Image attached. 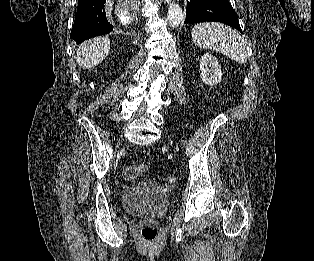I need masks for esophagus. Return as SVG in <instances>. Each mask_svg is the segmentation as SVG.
Returning <instances> with one entry per match:
<instances>
[{"mask_svg":"<svg viewBox=\"0 0 314 261\" xmlns=\"http://www.w3.org/2000/svg\"><path fill=\"white\" fill-rule=\"evenodd\" d=\"M169 1H170V0H164L165 3H166V2L168 3Z\"/></svg>","mask_w":314,"mask_h":261,"instance_id":"1","label":"esophagus"}]
</instances>
